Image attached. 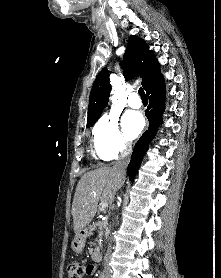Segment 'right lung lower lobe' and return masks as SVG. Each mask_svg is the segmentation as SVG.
I'll return each instance as SVG.
<instances>
[{"instance_id":"1","label":"right lung lower lobe","mask_w":221,"mask_h":278,"mask_svg":"<svg viewBox=\"0 0 221 278\" xmlns=\"http://www.w3.org/2000/svg\"><path fill=\"white\" fill-rule=\"evenodd\" d=\"M145 90L149 97V106L145 111L149 121V128L134 147L131 161L127 168V174L131 181L134 180L148 145L156 135L157 129L162 122V113L165 108V82L163 75L161 74L156 78Z\"/></svg>"}]
</instances>
